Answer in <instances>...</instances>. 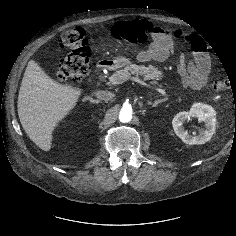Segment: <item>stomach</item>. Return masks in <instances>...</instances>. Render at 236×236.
<instances>
[{
  "instance_id": "obj_1",
  "label": "stomach",
  "mask_w": 236,
  "mask_h": 236,
  "mask_svg": "<svg viewBox=\"0 0 236 236\" xmlns=\"http://www.w3.org/2000/svg\"><path fill=\"white\" fill-rule=\"evenodd\" d=\"M130 63H131V60L124 56H118L113 59V65L116 68H122L126 65H129Z\"/></svg>"
}]
</instances>
